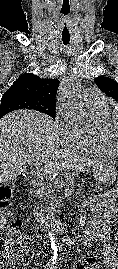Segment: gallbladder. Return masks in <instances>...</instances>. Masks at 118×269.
I'll return each instance as SVG.
<instances>
[{"label": "gallbladder", "mask_w": 118, "mask_h": 269, "mask_svg": "<svg viewBox=\"0 0 118 269\" xmlns=\"http://www.w3.org/2000/svg\"><path fill=\"white\" fill-rule=\"evenodd\" d=\"M23 172H24V173H27V170H26V168H24V169H23Z\"/></svg>", "instance_id": "gallbladder-1"}]
</instances>
